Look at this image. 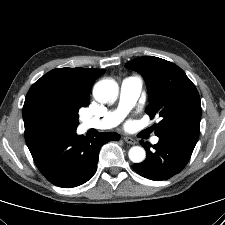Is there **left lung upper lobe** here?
I'll return each instance as SVG.
<instances>
[{"label": "left lung upper lobe", "mask_w": 225, "mask_h": 225, "mask_svg": "<svg viewBox=\"0 0 225 225\" xmlns=\"http://www.w3.org/2000/svg\"><path fill=\"white\" fill-rule=\"evenodd\" d=\"M126 68L141 73L146 81L149 106L146 113L153 119L158 137H172L196 145L201 120L198 91L185 72L167 60L146 56L128 62Z\"/></svg>", "instance_id": "obj_1"}]
</instances>
